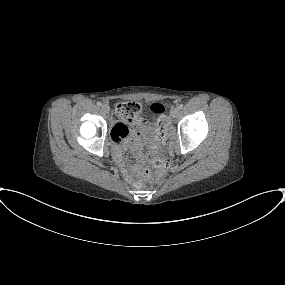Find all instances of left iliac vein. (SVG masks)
Masks as SVG:
<instances>
[{
    "label": "left iliac vein",
    "mask_w": 285,
    "mask_h": 285,
    "mask_svg": "<svg viewBox=\"0 0 285 285\" xmlns=\"http://www.w3.org/2000/svg\"><path fill=\"white\" fill-rule=\"evenodd\" d=\"M180 113V109L178 107H174L171 109V117L176 118Z\"/></svg>",
    "instance_id": "obj_1"
}]
</instances>
